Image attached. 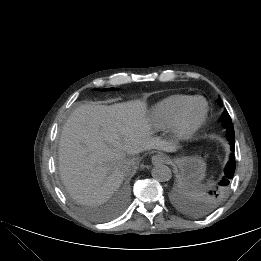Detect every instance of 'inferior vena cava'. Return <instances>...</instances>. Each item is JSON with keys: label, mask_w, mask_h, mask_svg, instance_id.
<instances>
[{"label": "inferior vena cava", "mask_w": 261, "mask_h": 261, "mask_svg": "<svg viewBox=\"0 0 261 261\" xmlns=\"http://www.w3.org/2000/svg\"><path fill=\"white\" fill-rule=\"evenodd\" d=\"M121 166H122L124 169L128 170V169L131 167V161H130V159H128V158L122 159V160H121Z\"/></svg>", "instance_id": "obj_1"}]
</instances>
